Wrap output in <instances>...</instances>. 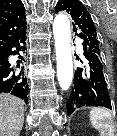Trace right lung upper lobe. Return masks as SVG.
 I'll return each instance as SVG.
<instances>
[{"mask_svg": "<svg viewBox=\"0 0 117 136\" xmlns=\"http://www.w3.org/2000/svg\"><path fill=\"white\" fill-rule=\"evenodd\" d=\"M26 25L25 8L19 0L0 1V49Z\"/></svg>", "mask_w": 117, "mask_h": 136, "instance_id": "obj_1", "label": "right lung upper lobe"}]
</instances>
